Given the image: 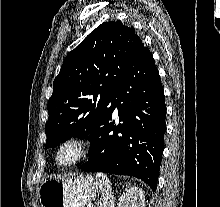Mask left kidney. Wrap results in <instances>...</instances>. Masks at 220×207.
Here are the masks:
<instances>
[{"instance_id":"5707ae66","label":"left kidney","mask_w":220,"mask_h":207,"mask_svg":"<svg viewBox=\"0 0 220 207\" xmlns=\"http://www.w3.org/2000/svg\"><path fill=\"white\" fill-rule=\"evenodd\" d=\"M144 193L137 187L128 188L119 198L117 207H144Z\"/></svg>"}]
</instances>
